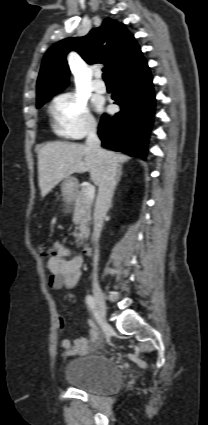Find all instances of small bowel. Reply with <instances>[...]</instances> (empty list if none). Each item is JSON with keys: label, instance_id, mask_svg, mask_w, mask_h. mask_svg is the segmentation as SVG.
<instances>
[{"label": "small bowel", "instance_id": "1", "mask_svg": "<svg viewBox=\"0 0 208 425\" xmlns=\"http://www.w3.org/2000/svg\"><path fill=\"white\" fill-rule=\"evenodd\" d=\"M54 255L47 261L49 271V287L53 290H63L75 287L82 275L83 259L73 255L70 249L60 242L53 244ZM88 335L75 339L62 340L61 347L67 356L82 355L92 350L99 340V330L93 320H88ZM60 328L65 326L63 318L58 319Z\"/></svg>", "mask_w": 208, "mask_h": 425}]
</instances>
